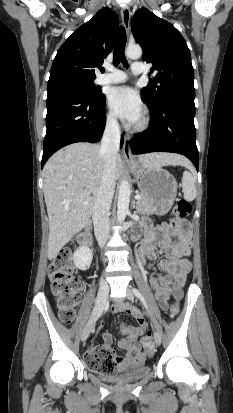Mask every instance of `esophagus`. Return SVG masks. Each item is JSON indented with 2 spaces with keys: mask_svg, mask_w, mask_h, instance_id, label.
Instances as JSON below:
<instances>
[{
  "mask_svg": "<svg viewBox=\"0 0 233 413\" xmlns=\"http://www.w3.org/2000/svg\"><path fill=\"white\" fill-rule=\"evenodd\" d=\"M130 18H131V12L128 6H125L121 9V20H122V25L126 31V33L129 32V27H130ZM123 158L125 161H133V156L131 153V147L129 143V137L125 136L124 138V143H123Z\"/></svg>",
  "mask_w": 233,
  "mask_h": 413,
  "instance_id": "esophagus-1",
  "label": "esophagus"
}]
</instances>
